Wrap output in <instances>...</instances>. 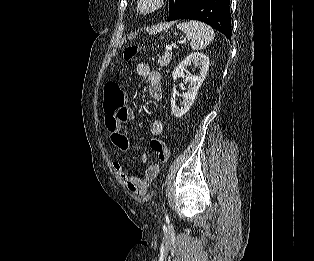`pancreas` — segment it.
Listing matches in <instances>:
<instances>
[{"label":"pancreas","mask_w":314,"mask_h":261,"mask_svg":"<svg viewBox=\"0 0 314 261\" xmlns=\"http://www.w3.org/2000/svg\"><path fill=\"white\" fill-rule=\"evenodd\" d=\"M172 60V53L166 51L162 56L158 57L157 63L161 68H165Z\"/></svg>","instance_id":"pancreas-1"}]
</instances>
